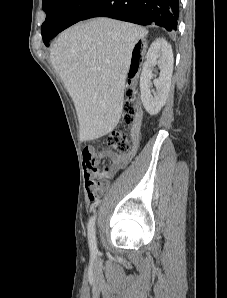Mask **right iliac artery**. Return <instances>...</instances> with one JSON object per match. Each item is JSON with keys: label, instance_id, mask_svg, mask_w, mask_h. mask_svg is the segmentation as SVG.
I'll return each mask as SVG.
<instances>
[{"label": "right iliac artery", "instance_id": "obj_1", "mask_svg": "<svg viewBox=\"0 0 227 298\" xmlns=\"http://www.w3.org/2000/svg\"><path fill=\"white\" fill-rule=\"evenodd\" d=\"M88 241L91 253L96 255L97 244H96V231H95V216H92L88 223Z\"/></svg>", "mask_w": 227, "mask_h": 298}]
</instances>
